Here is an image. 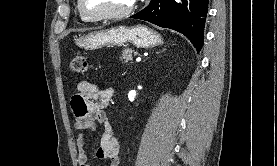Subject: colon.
Masks as SVG:
<instances>
[{
  "instance_id": "1",
  "label": "colon",
  "mask_w": 277,
  "mask_h": 166,
  "mask_svg": "<svg viewBox=\"0 0 277 166\" xmlns=\"http://www.w3.org/2000/svg\"><path fill=\"white\" fill-rule=\"evenodd\" d=\"M87 68V59L82 54H77L69 63L70 71L76 74H84Z\"/></svg>"
}]
</instances>
